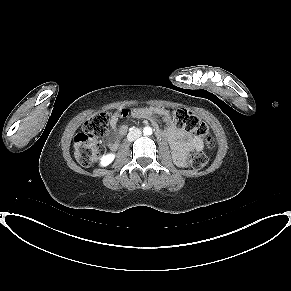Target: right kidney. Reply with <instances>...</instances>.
<instances>
[{
	"label": "right kidney",
	"mask_w": 291,
	"mask_h": 291,
	"mask_svg": "<svg viewBox=\"0 0 291 291\" xmlns=\"http://www.w3.org/2000/svg\"><path fill=\"white\" fill-rule=\"evenodd\" d=\"M115 159V155L112 153L106 154L104 156H102V158L100 159V165L102 167L108 166L109 164H111L113 162V160Z\"/></svg>",
	"instance_id": "1"
}]
</instances>
